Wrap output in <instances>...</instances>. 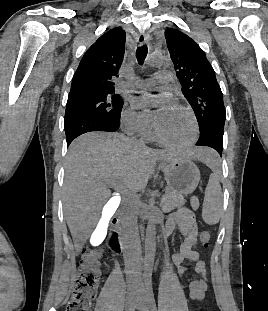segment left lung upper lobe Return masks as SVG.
Wrapping results in <instances>:
<instances>
[{
    "label": "left lung upper lobe",
    "mask_w": 268,
    "mask_h": 311,
    "mask_svg": "<svg viewBox=\"0 0 268 311\" xmlns=\"http://www.w3.org/2000/svg\"><path fill=\"white\" fill-rule=\"evenodd\" d=\"M165 38L182 93L194 110L200 133L224 131L223 95L204 51L177 29L166 30Z\"/></svg>",
    "instance_id": "obj_1"
}]
</instances>
